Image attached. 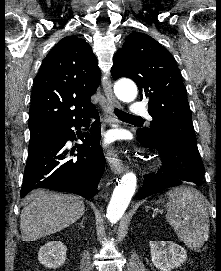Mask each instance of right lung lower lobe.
Here are the masks:
<instances>
[{"label":"right lung lower lobe","mask_w":221,"mask_h":271,"mask_svg":"<svg viewBox=\"0 0 221 271\" xmlns=\"http://www.w3.org/2000/svg\"><path fill=\"white\" fill-rule=\"evenodd\" d=\"M93 116L96 121L81 138L76 158H70L73 152L64 148L68 140H75L72 127L81 128L87 124V118ZM60 131L29 147L28 160L20 196L37 188L75 193L88 199L93 198L105 169V158L100 147L99 116L97 110L77 118L60 127Z\"/></svg>","instance_id":"98d812e1"}]
</instances>
